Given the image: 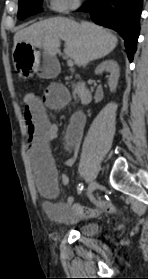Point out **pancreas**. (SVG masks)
<instances>
[{
    "label": "pancreas",
    "mask_w": 148,
    "mask_h": 279,
    "mask_svg": "<svg viewBox=\"0 0 148 279\" xmlns=\"http://www.w3.org/2000/svg\"><path fill=\"white\" fill-rule=\"evenodd\" d=\"M66 79H68V78H66ZM73 95H74V97H75V95L78 93V91H79V86L78 85H74L73 84Z\"/></svg>",
    "instance_id": "1"
}]
</instances>
